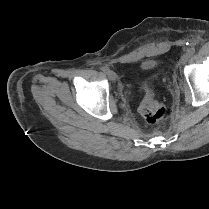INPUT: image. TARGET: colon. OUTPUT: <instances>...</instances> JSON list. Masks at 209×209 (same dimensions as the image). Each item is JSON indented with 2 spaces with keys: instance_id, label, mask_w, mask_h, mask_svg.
Here are the masks:
<instances>
[{
  "instance_id": "obj_1",
  "label": "colon",
  "mask_w": 209,
  "mask_h": 209,
  "mask_svg": "<svg viewBox=\"0 0 209 209\" xmlns=\"http://www.w3.org/2000/svg\"><path fill=\"white\" fill-rule=\"evenodd\" d=\"M139 112L149 124L164 121L171 113L168 107L155 99L153 88L147 84L143 86V99L139 106Z\"/></svg>"
}]
</instances>
